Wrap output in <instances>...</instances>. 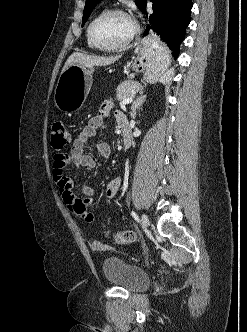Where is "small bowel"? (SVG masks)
<instances>
[{
    "label": "small bowel",
    "instance_id": "1",
    "mask_svg": "<svg viewBox=\"0 0 247 332\" xmlns=\"http://www.w3.org/2000/svg\"><path fill=\"white\" fill-rule=\"evenodd\" d=\"M111 106V101H106L102 105L100 114L90 118L88 124L79 131L70 152L57 153L53 161V180L57 185L63 201L76 216L88 222L93 221L95 218V215L89 210L94 195V189L90 186H83L82 196L75 194L73 192L72 180L66 175L65 171L69 164L87 170H93L95 168L96 162L90 153V139L96 135L99 129L104 127V118L108 114ZM122 115H124L122 112H117V120ZM97 150L103 159L106 160L109 158L111 149L107 143H98ZM121 183V178L116 177L107 184L105 193L109 202L116 197Z\"/></svg>",
    "mask_w": 247,
    "mask_h": 332
}]
</instances>
